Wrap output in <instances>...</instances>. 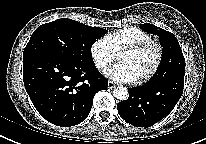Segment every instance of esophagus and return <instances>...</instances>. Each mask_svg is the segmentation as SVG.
I'll list each match as a JSON object with an SVG mask.
<instances>
[{
	"instance_id": "esophagus-1",
	"label": "esophagus",
	"mask_w": 206,
	"mask_h": 144,
	"mask_svg": "<svg viewBox=\"0 0 206 144\" xmlns=\"http://www.w3.org/2000/svg\"><path fill=\"white\" fill-rule=\"evenodd\" d=\"M116 87V84L115 83H113L112 81H109L108 82V88L109 89H113V88H115Z\"/></svg>"
}]
</instances>
